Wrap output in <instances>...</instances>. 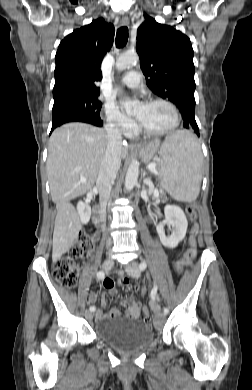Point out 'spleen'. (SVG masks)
<instances>
[{
  "mask_svg": "<svg viewBox=\"0 0 252 390\" xmlns=\"http://www.w3.org/2000/svg\"><path fill=\"white\" fill-rule=\"evenodd\" d=\"M161 158L162 187L177 201H195L200 192L203 157L194 135L177 131L168 136L161 149Z\"/></svg>",
  "mask_w": 252,
  "mask_h": 390,
  "instance_id": "3e777b00",
  "label": "spleen"
}]
</instances>
